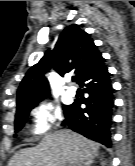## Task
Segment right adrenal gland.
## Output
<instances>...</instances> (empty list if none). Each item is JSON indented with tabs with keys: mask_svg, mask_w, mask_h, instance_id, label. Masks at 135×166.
<instances>
[{
	"mask_svg": "<svg viewBox=\"0 0 135 166\" xmlns=\"http://www.w3.org/2000/svg\"><path fill=\"white\" fill-rule=\"evenodd\" d=\"M93 162H94L93 159H89L87 161H80L77 163H72V164H69L68 166H91Z\"/></svg>",
	"mask_w": 135,
	"mask_h": 166,
	"instance_id": "1",
	"label": "right adrenal gland"
}]
</instances>
